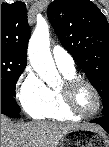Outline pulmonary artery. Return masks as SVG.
Instances as JSON below:
<instances>
[{
	"instance_id": "1",
	"label": "pulmonary artery",
	"mask_w": 109,
	"mask_h": 147,
	"mask_svg": "<svg viewBox=\"0 0 109 147\" xmlns=\"http://www.w3.org/2000/svg\"><path fill=\"white\" fill-rule=\"evenodd\" d=\"M52 56L56 66L60 70H74V59L73 57L62 47L54 46L52 49Z\"/></svg>"
}]
</instances>
